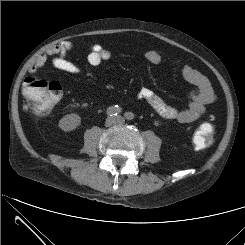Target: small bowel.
<instances>
[{"instance_id": "1", "label": "small bowel", "mask_w": 245, "mask_h": 245, "mask_svg": "<svg viewBox=\"0 0 245 245\" xmlns=\"http://www.w3.org/2000/svg\"><path fill=\"white\" fill-rule=\"evenodd\" d=\"M75 49L76 45L70 41H64L50 47L37 57L30 73L33 74L51 60L53 66L57 69L71 75H78L80 68L68 59V54ZM111 56L112 54L108 49L94 44L89 49L87 60L91 66H98L102 61L109 60ZM145 58L151 64L163 62V57L154 50L148 51ZM181 73L183 78L193 86L188 94L189 103L187 108L177 109L166 103L151 90H142L138 94V99L147 102L158 115L165 119L189 123L204 114L206 107L215 100V93L209 80L193 67L185 65Z\"/></svg>"}]
</instances>
